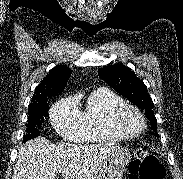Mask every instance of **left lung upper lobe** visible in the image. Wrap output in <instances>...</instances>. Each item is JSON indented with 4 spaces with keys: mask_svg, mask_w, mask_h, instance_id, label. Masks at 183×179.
<instances>
[{
    "mask_svg": "<svg viewBox=\"0 0 183 179\" xmlns=\"http://www.w3.org/2000/svg\"><path fill=\"white\" fill-rule=\"evenodd\" d=\"M98 75L115 91L145 110L146 117L150 120L154 134L158 136L157 120L154 116L152 100L146 86L136 77L135 73L130 68L117 64L99 69Z\"/></svg>",
    "mask_w": 183,
    "mask_h": 179,
    "instance_id": "left-lung-upper-lobe-1",
    "label": "left lung upper lobe"
}]
</instances>
